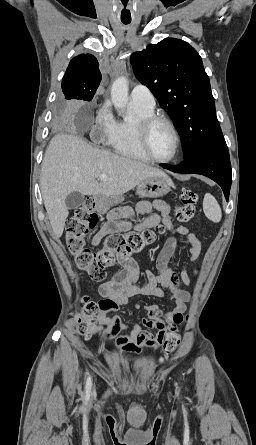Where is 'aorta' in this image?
I'll return each mask as SVG.
<instances>
[{
	"label": "aorta",
	"instance_id": "762f6f07",
	"mask_svg": "<svg viewBox=\"0 0 256 445\" xmlns=\"http://www.w3.org/2000/svg\"><path fill=\"white\" fill-rule=\"evenodd\" d=\"M129 84L126 76L118 77L111 87V100L117 110H124L128 104ZM130 117L126 116L125 120Z\"/></svg>",
	"mask_w": 256,
	"mask_h": 445
}]
</instances>
